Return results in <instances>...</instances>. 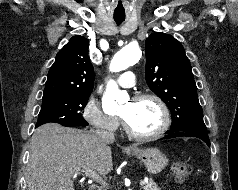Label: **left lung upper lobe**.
<instances>
[{
    "label": "left lung upper lobe",
    "mask_w": 238,
    "mask_h": 190,
    "mask_svg": "<svg viewBox=\"0 0 238 190\" xmlns=\"http://www.w3.org/2000/svg\"><path fill=\"white\" fill-rule=\"evenodd\" d=\"M145 52L146 82L170 109V130L206 127L183 45L171 35L154 32L146 39Z\"/></svg>",
    "instance_id": "obj_1"
}]
</instances>
